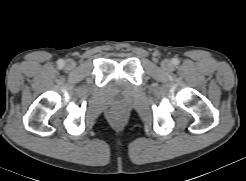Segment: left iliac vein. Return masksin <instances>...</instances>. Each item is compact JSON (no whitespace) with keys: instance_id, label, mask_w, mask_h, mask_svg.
<instances>
[{"instance_id":"left-iliac-vein-1","label":"left iliac vein","mask_w":246,"mask_h":181,"mask_svg":"<svg viewBox=\"0 0 246 181\" xmlns=\"http://www.w3.org/2000/svg\"><path fill=\"white\" fill-rule=\"evenodd\" d=\"M162 67H163L164 69H171V68H172V64L170 63L169 60H164V61L162 62Z\"/></svg>"}]
</instances>
